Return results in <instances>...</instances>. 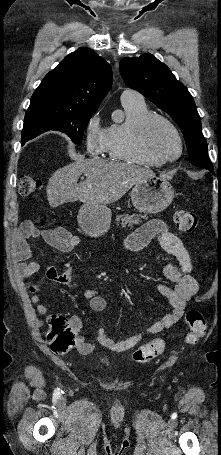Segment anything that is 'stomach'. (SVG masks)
I'll return each mask as SVG.
<instances>
[{
  "label": "stomach",
  "instance_id": "0dacf381",
  "mask_svg": "<svg viewBox=\"0 0 221 455\" xmlns=\"http://www.w3.org/2000/svg\"><path fill=\"white\" fill-rule=\"evenodd\" d=\"M173 198L172 185L156 176L137 182L131 191L134 207L144 213L156 214L165 210ZM111 216V210L104 204H85L80 207L77 219L86 234L99 237L109 230Z\"/></svg>",
  "mask_w": 221,
  "mask_h": 455
}]
</instances>
